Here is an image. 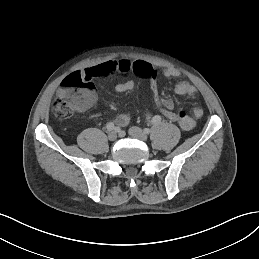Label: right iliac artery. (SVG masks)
Segmentation results:
<instances>
[{"instance_id":"right-iliac-artery-1","label":"right iliac artery","mask_w":259,"mask_h":259,"mask_svg":"<svg viewBox=\"0 0 259 259\" xmlns=\"http://www.w3.org/2000/svg\"><path fill=\"white\" fill-rule=\"evenodd\" d=\"M106 128L108 131H112L115 129V125H114V123L110 122L106 125Z\"/></svg>"}]
</instances>
